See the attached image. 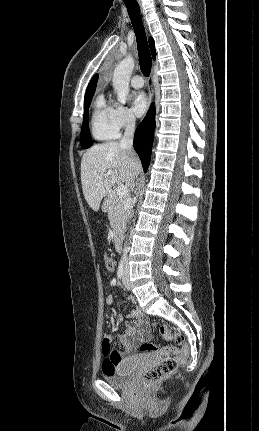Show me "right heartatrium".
Listing matches in <instances>:
<instances>
[{
  "instance_id": "obj_1",
  "label": "right heart atrium",
  "mask_w": 259,
  "mask_h": 431,
  "mask_svg": "<svg viewBox=\"0 0 259 431\" xmlns=\"http://www.w3.org/2000/svg\"><path fill=\"white\" fill-rule=\"evenodd\" d=\"M111 118L114 127L118 131L131 128L135 124V117L131 110L122 105H117L112 108Z\"/></svg>"
}]
</instances>
